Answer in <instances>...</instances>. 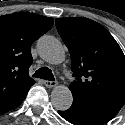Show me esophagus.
<instances>
[{"label":"esophagus","instance_id":"esophagus-1","mask_svg":"<svg viewBox=\"0 0 125 125\" xmlns=\"http://www.w3.org/2000/svg\"><path fill=\"white\" fill-rule=\"evenodd\" d=\"M43 83L48 88L56 87L58 84L56 81H49V80H44Z\"/></svg>","mask_w":125,"mask_h":125}]
</instances>
